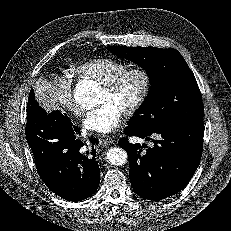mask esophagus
Returning a JSON list of instances; mask_svg holds the SVG:
<instances>
[{
    "mask_svg": "<svg viewBox=\"0 0 231 231\" xmlns=\"http://www.w3.org/2000/svg\"><path fill=\"white\" fill-rule=\"evenodd\" d=\"M101 142L105 145H110L115 142V139L110 136H103V138L101 139Z\"/></svg>",
    "mask_w": 231,
    "mask_h": 231,
    "instance_id": "obj_1",
    "label": "esophagus"
}]
</instances>
